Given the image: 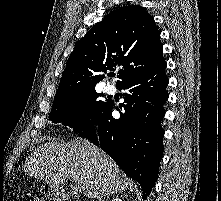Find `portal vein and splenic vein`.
<instances>
[{"label":"portal vein and splenic vein","instance_id":"obj_1","mask_svg":"<svg viewBox=\"0 0 221 201\" xmlns=\"http://www.w3.org/2000/svg\"><path fill=\"white\" fill-rule=\"evenodd\" d=\"M72 188L77 193H81L84 190L82 182H80L79 180H75V183L72 185Z\"/></svg>","mask_w":221,"mask_h":201}]
</instances>
